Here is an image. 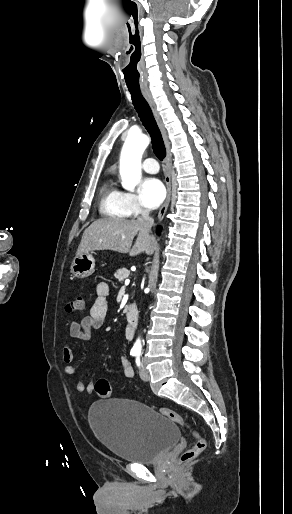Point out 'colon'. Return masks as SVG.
<instances>
[{"mask_svg":"<svg viewBox=\"0 0 292 514\" xmlns=\"http://www.w3.org/2000/svg\"><path fill=\"white\" fill-rule=\"evenodd\" d=\"M85 308H86L85 301L80 296L71 299L66 306V310L68 313L82 312L85 310ZM94 388H95L96 393L98 394V396L101 399L105 400V399H109L111 397V390H112L111 385L106 378H104V377L99 378L97 380V382L95 383ZM155 409L164 418L184 427L193 436V445L181 453L180 461L182 463L189 462V461L196 459L206 449V441H205L204 437L181 414H179L175 410L165 408V407L155 408Z\"/></svg>","mask_w":292,"mask_h":514,"instance_id":"1","label":"colon"}]
</instances>
